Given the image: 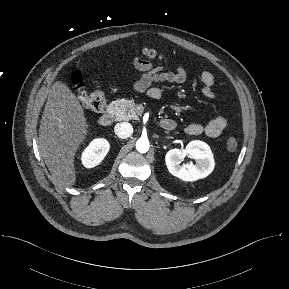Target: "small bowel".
<instances>
[{"mask_svg":"<svg viewBox=\"0 0 289 289\" xmlns=\"http://www.w3.org/2000/svg\"><path fill=\"white\" fill-rule=\"evenodd\" d=\"M134 67L142 73L136 80L134 89L139 93H146L152 99H159L162 91L155 83L181 84L187 79V72L183 67H178L175 71H167L160 67H154L149 61L140 57L134 59ZM202 84V94L208 99H214L216 93L213 90L215 83L214 75L209 71H203L200 75ZM227 126V119L223 116L211 118L205 126L198 123H191L186 126L185 131L189 135L197 136L205 134L208 137L216 138L220 136Z\"/></svg>","mask_w":289,"mask_h":289,"instance_id":"obj_1","label":"small bowel"}]
</instances>
